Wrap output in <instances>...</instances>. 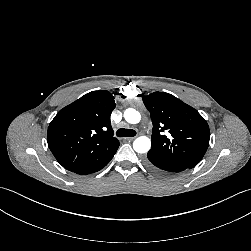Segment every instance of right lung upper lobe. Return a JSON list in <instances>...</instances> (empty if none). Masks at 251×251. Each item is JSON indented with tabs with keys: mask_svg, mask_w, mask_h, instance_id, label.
<instances>
[{
	"mask_svg": "<svg viewBox=\"0 0 251 251\" xmlns=\"http://www.w3.org/2000/svg\"><path fill=\"white\" fill-rule=\"evenodd\" d=\"M108 91H92L60 110L48 127V146L57 161L77 173L103 163L119 147L110 115L115 108Z\"/></svg>",
	"mask_w": 251,
	"mask_h": 251,
	"instance_id": "1",
	"label": "right lung upper lobe"
}]
</instances>
